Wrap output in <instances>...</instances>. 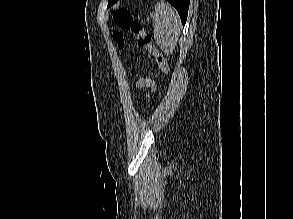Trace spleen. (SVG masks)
I'll return each mask as SVG.
<instances>
[{"mask_svg":"<svg viewBox=\"0 0 293 219\" xmlns=\"http://www.w3.org/2000/svg\"><path fill=\"white\" fill-rule=\"evenodd\" d=\"M153 20V33L157 45L166 54H171L181 32V21L178 14L169 5L163 2L155 5V11L150 14Z\"/></svg>","mask_w":293,"mask_h":219,"instance_id":"spleen-1","label":"spleen"}]
</instances>
